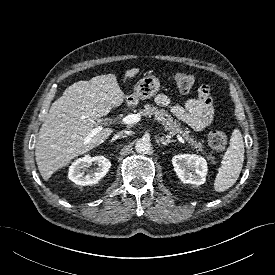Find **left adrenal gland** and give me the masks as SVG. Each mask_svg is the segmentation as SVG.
I'll use <instances>...</instances> for the list:
<instances>
[{
    "instance_id": "a2214340",
    "label": "left adrenal gland",
    "mask_w": 275,
    "mask_h": 275,
    "mask_svg": "<svg viewBox=\"0 0 275 275\" xmlns=\"http://www.w3.org/2000/svg\"><path fill=\"white\" fill-rule=\"evenodd\" d=\"M160 141H161V144H163L164 146H166L168 143L175 142L174 140H171L169 138L165 139L164 136L161 137Z\"/></svg>"
}]
</instances>
